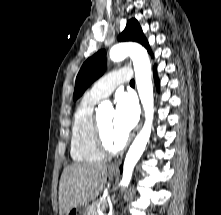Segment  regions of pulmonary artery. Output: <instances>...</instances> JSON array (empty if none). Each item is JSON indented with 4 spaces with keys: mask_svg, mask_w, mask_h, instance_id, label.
I'll return each instance as SVG.
<instances>
[{
    "mask_svg": "<svg viewBox=\"0 0 221 215\" xmlns=\"http://www.w3.org/2000/svg\"><path fill=\"white\" fill-rule=\"evenodd\" d=\"M132 72L128 68L114 70L99 79L89 90V94L95 98L102 99L110 95L114 89L131 80Z\"/></svg>",
    "mask_w": 221,
    "mask_h": 215,
    "instance_id": "1",
    "label": "pulmonary artery"
}]
</instances>
